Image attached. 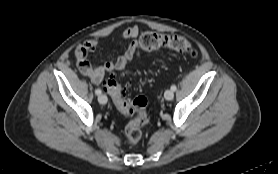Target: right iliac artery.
I'll use <instances>...</instances> for the list:
<instances>
[{
	"label": "right iliac artery",
	"instance_id": "1",
	"mask_svg": "<svg viewBox=\"0 0 278 174\" xmlns=\"http://www.w3.org/2000/svg\"><path fill=\"white\" fill-rule=\"evenodd\" d=\"M101 92H102V91H101L100 89H96V90H95V94H96V95H100Z\"/></svg>",
	"mask_w": 278,
	"mask_h": 174
}]
</instances>
